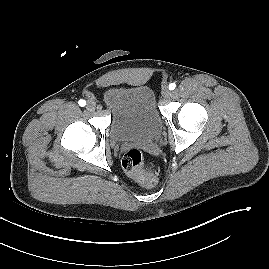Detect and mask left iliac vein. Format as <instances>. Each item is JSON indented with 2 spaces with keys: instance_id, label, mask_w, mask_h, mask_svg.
Instances as JSON below:
<instances>
[{
  "instance_id": "1",
  "label": "left iliac vein",
  "mask_w": 269,
  "mask_h": 269,
  "mask_svg": "<svg viewBox=\"0 0 269 269\" xmlns=\"http://www.w3.org/2000/svg\"><path fill=\"white\" fill-rule=\"evenodd\" d=\"M162 96L167 99L171 96V91L168 89V87H164L162 89Z\"/></svg>"
}]
</instances>
